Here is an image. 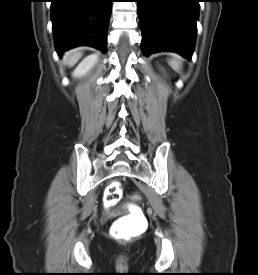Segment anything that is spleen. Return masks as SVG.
Wrapping results in <instances>:
<instances>
[{
	"instance_id": "1",
	"label": "spleen",
	"mask_w": 258,
	"mask_h": 275,
	"mask_svg": "<svg viewBox=\"0 0 258 275\" xmlns=\"http://www.w3.org/2000/svg\"><path fill=\"white\" fill-rule=\"evenodd\" d=\"M169 65L177 72L181 70V58L178 55H173V58L169 60Z\"/></svg>"
}]
</instances>
